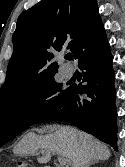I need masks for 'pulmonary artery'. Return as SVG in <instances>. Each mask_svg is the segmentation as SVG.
I'll list each match as a JSON object with an SVG mask.
<instances>
[{
  "label": "pulmonary artery",
  "mask_w": 125,
  "mask_h": 167,
  "mask_svg": "<svg viewBox=\"0 0 125 167\" xmlns=\"http://www.w3.org/2000/svg\"><path fill=\"white\" fill-rule=\"evenodd\" d=\"M74 74V71L72 69H63V75L65 78H71Z\"/></svg>",
  "instance_id": "1"
}]
</instances>
